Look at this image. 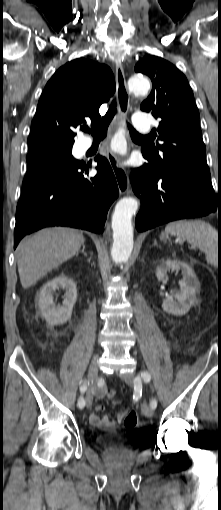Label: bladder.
Masks as SVG:
<instances>
[{"mask_svg":"<svg viewBox=\"0 0 221 510\" xmlns=\"http://www.w3.org/2000/svg\"><path fill=\"white\" fill-rule=\"evenodd\" d=\"M124 439H125V437H123L122 435L113 433V434H109L107 436L98 438V442L105 448H111L115 444H117L119 441L124 440ZM135 444L136 443H131V442L127 443V445L129 447H133Z\"/></svg>","mask_w":221,"mask_h":510,"instance_id":"bladder-1","label":"bladder"}]
</instances>
